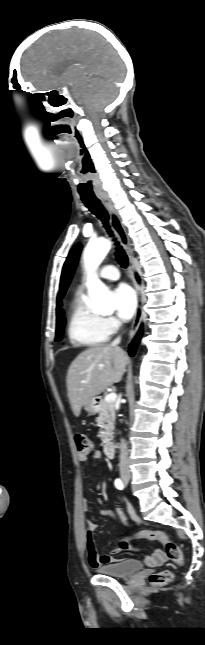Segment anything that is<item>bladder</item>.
Segmentation results:
<instances>
[{"label":"bladder","instance_id":"bladder-1","mask_svg":"<svg viewBox=\"0 0 205 645\" xmlns=\"http://www.w3.org/2000/svg\"><path fill=\"white\" fill-rule=\"evenodd\" d=\"M143 569L141 561L136 559H125L118 562L101 565L97 568L98 572L104 575L126 578L132 576Z\"/></svg>","mask_w":205,"mask_h":645}]
</instances>
